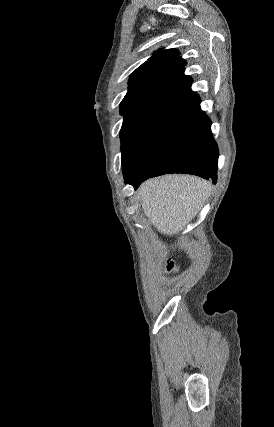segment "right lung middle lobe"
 <instances>
[{
  "instance_id": "1",
  "label": "right lung middle lobe",
  "mask_w": 274,
  "mask_h": 427,
  "mask_svg": "<svg viewBox=\"0 0 274 427\" xmlns=\"http://www.w3.org/2000/svg\"><path fill=\"white\" fill-rule=\"evenodd\" d=\"M174 105L148 100L121 107L124 122L120 131L122 167L136 164Z\"/></svg>"
}]
</instances>
